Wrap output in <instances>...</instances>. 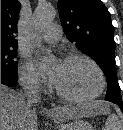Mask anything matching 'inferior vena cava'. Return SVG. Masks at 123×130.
<instances>
[{
    "instance_id": "1",
    "label": "inferior vena cava",
    "mask_w": 123,
    "mask_h": 130,
    "mask_svg": "<svg viewBox=\"0 0 123 130\" xmlns=\"http://www.w3.org/2000/svg\"><path fill=\"white\" fill-rule=\"evenodd\" d=\"M24 97L27 100V106L41 102L40 89L36 82H24Z\"/></svg>"
}]
</instances>
